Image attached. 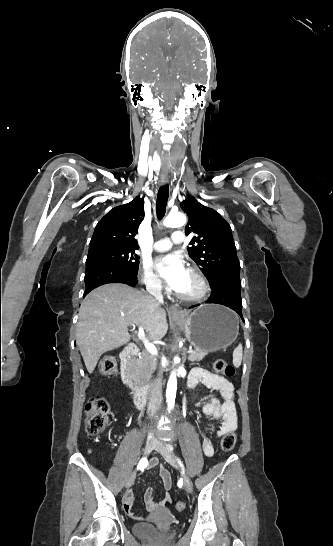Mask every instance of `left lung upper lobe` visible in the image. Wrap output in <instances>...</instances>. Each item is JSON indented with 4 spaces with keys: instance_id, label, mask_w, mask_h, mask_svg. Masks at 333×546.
Masks as SVG:
<instances>
[{
    "instance_id": "1",
    "label": "left lung upper lobe",
    "mask_w": 333,
    "mask_h": 546,
    "mask_svg": "<svg viewBox=\"0 0 333 546\" xmlns=\"http://www.w3.org/2000/svg\"><path fill=\"white\" fill-rule=\"evenodd\" d=\"M189 217L185 232L196 233L188 248L189 256L200 266L210 286L219 280L240 275V263L230 225L215 210L190 196L180 204Z\"/></svg>"
}]
</instances>
